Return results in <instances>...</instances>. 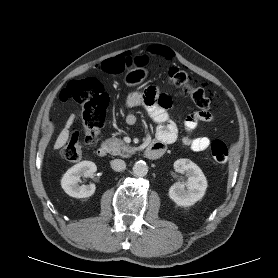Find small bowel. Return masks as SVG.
I'll return each instance as SVG.
<instances>
[{
  "instance_id": "obj_1",
  "label": "small bowel",
  "mask_w": 278,
  "mask_h": 278,
  "mask_svg": "<svg viewBox=\"0 0 278 278\" xmlns=\"http://www.w3.org/2000/svg\"><path fill=\"white\" fill-rule=\"evenodd\" d=\"M172 99L167 94H162L155 86L148 87L143 93L133 92L126 99V107L144 106L151 119L157 124L156 140L164 146L174 143L179 134L178 126L173 119L169 117L166 108L170 107ZM214 116L208 110H199L190 114L185 122L184 128L186 134L182 138L184 145L195 152H202L210 147L211 140L206 136L193 137L190 135L196 129L200 122H211ZM137 118L133 114L126 117V123L133 125Z\"/></svg>"
}]
</instances>
